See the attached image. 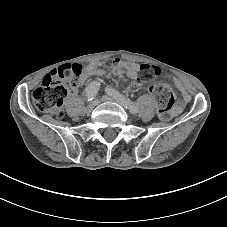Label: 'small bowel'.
Segmentation results:
<instances>
[{
	"instance_id": "obj_1",
	"label": "small bowel",
	"mask_w": 227,
	"mask_h": 227,
	"mask_svg": "<svg viewBox=\"0 0 227 227\" xmlns=\"http://www.w3.org/2000/svg\"><path fill=\"white\" fill-rule=\"evenodd\" d=\"M104 64H105V62H96V63L89 64L87 67L85 78H87L89 76H102L104 74V70L101 69V66ZM138 69H139V64L123 61V69L120 70L118 68H114L113 73L115 75L126 74L130 78L137 79L138 78ZM173 81H174V84L177 87V89L181 92V94L183 96V100L188 101L189 95L184 90V87L182 86L181 82L176 78H174ZM179 110H180V108L177 107L174 110V113H178Z\"/></svg>"
}]
</instances>
